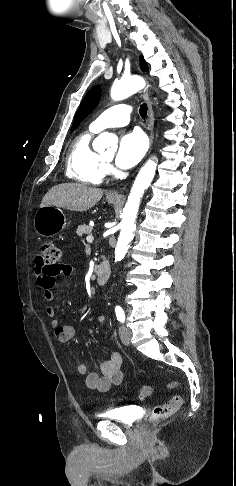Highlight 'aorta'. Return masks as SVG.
<instances>
[{
    "mask_svg": "<svg viewBox=\"0 0 236 486\" xmlns=\"http://www.w3.org/2000/svg\"><path fill=\"white\" fill-rule=\"evenodd\" d=\"M145 86V82L141 77L131 76L123 78L115 82L111 88V98L115 101L123 100L130 95L135 94ZM115 139L112 134L108 132L101 133L94 141L93 147L96 151H100L109 147ZM157 163L149 159L139 171L128 200L123 209L121 231L118 242L115 248V261H120L124 258L128 251L129 243L133 238L135 230V219L138 213L141 198L144 191L149 187L154 178Z\"/></svg>",
    "mask_w": 236,
    "mask_h": 486,
    "instance_id": "1",
    "label": "aorta"
}]
</instances>
